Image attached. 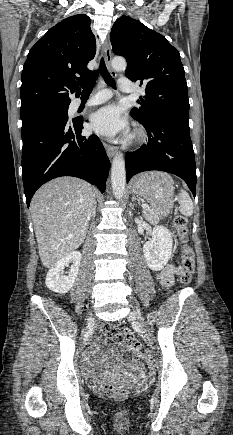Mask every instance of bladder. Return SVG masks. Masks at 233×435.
Wrapping results in <instances>:
<instances>
[{"label":"bladder","instance_id":"1","mask_svg":"<svg viewBox=\"0 0 233 435\" xmlns=\"http://www.w3.org/2000/svg\"><path fill=\"white\" fill-rule=\"evenodd\" d=\"M88 380L93 381V380H95V379H94V378H88Z\"/></svg>","mask_w":233,"mask_h":435}]
</instances>
